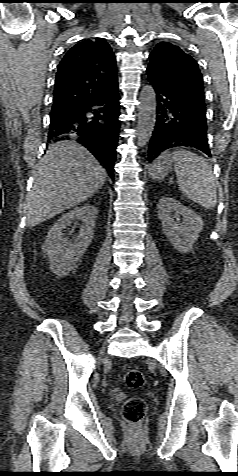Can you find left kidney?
<instances>
[{
	"label": "left kidney",
	"instance_id": "5707ae66",
	"mask_svg": "<svg viewBox=\"0 0 238 476\" xmlns=\"http://www.w3.org/2000/svg\"><path fill=\"white\" fill-rule=\"evenodd\" d=\"M157 210L163 233L170 239L174 247L181 253L191 251L203 229L204 224L201 217L168 196L159 200ZM180 216H182V221Z\"/></svg>",
	"mask_w": 238,
	"mask_h": 476
}]
</instances>
